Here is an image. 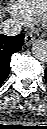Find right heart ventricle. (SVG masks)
I'll return each instance as SVG.
<instances>
[{
  "mask_svg": "<svg viewBox=\"0 0 47 129\" xmlns=\"http://www.w3.org/2000/svg\"><path fill=\"white\" fill-rule=\"evenodd\" d=\"M22 8L31 16H38L45 8L47 0H16Z\"/></svg>",
  "mask_w": 47,
  "mask_h": 129,
  "instance_id": "e07e8e85",
  "label": "right heart ventricle"
}]
</instances>
